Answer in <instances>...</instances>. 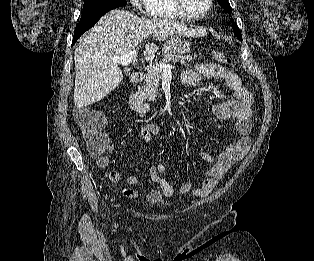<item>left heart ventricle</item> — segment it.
<instances>
[{"label":"left heart ventricle","instance_id":"left-heart-ventricle-1","mask_svg":"<svg viewBox=\"0 0 314 261\" xmlns=\"http://www.w3.org/2000/svg\"><path fill=\"white\" fill-rule=\"evenodd\" d=\"M186 8L193 14H202L208 8V0H183Z\"/></svg>","mask_w":314,"mask_h":261}]
</instances>
